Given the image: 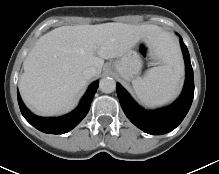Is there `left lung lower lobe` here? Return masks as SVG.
<instances>
[{
  "label": "left lung lower lobe",
  "mask_w": 219,
  "mask_h": 174,
  "mask_svg": "<svg viewBox=\"0 0 219 174\" xmlns=\"http://www.w3.org/2000/svg\"><path fill=\"white\" fill-rule=\"evenodd\" d=\"M186 65V80L181 96L170 106L148 111L141 108L124 90L117 84V95L121 107L130 121L141 130L152 135H161L175 129L188 113L194 96L193 69L187 47L180 39Z\"/></svg>",
  "instance_id": "0a47b994"
}]
</instances>
